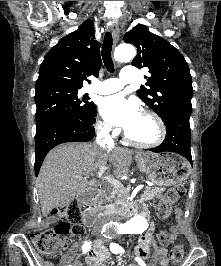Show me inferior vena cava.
<instances>
[{"instance_id":"602c4592","label":"inferior vena cava","mask_w":221,"mask_h":266,"mask_svg":"<svg viewBox=\"0 0 221 266\" xmlns=\"http://www.w3.org/2000/svg\"><path fill=\"white\" fill-rule=\"evenodd\" d=\"M97 143L100 147H102L104 150H111L113 147V139L109 135L108 129H100L97 133ZM111 214H114V212H109V215H106V218L100 219L97 223V226L101 228L107 220H111Z\"/></svg>"}]
</instances>
